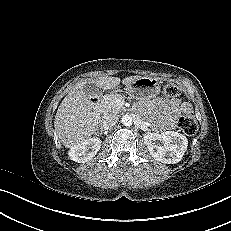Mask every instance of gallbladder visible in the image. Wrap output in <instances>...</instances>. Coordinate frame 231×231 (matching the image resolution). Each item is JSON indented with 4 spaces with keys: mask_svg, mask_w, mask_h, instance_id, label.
Listing matches in <instances>:
<instances>
[{
    "mask_svg": "<svg viewBox=\"0 0 231 231\" xmlns=\"http://www.w3.org/2000/svg\"><path fill=\"white\" fill-rule=\"evenodd\" d=\"M83 91L85 92L87 96L99 95L101 92L100 88L97 87L96 84L94 83H86L83 86Z\"/></svg>",
    "mask_w": 231,
    "mask_h": 231,
    "instance_id": "1",
    "label": "gallbladder"
}]
</instances>
